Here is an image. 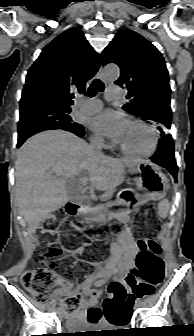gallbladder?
<instances>
[{"instance_id":"gallbladder-1","label":"gallbladder","mask_w":194,"mask_h":336,"mask_svg":"<svg viewBox=\"0 0 194 336\" xmlns=\"http://www.w3.org/2000/svg\"><path fill=\"white\" fill-rule=\"evenodd\" d=\"M68 193H69V196L72 197V192L70 188H68Z\"/></svg>"}]
</instances>
